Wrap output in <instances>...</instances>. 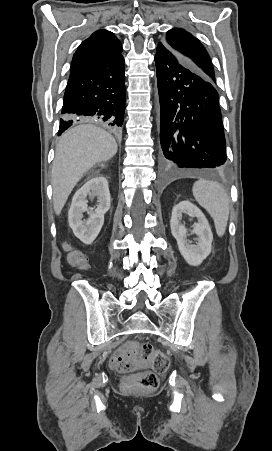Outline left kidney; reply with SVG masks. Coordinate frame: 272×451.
Segmentation results:
<instances>
[{
    "label": "left kidney",
    "instance_id": "obj_1",
    "mask_svg": "<svg viewBox=\"0 0 272 451\" xmlns=\"http://www.w3.org/2000/svg\"><path fill=\"white\" fill-rule=\"evenodd\" d=\"M183 214L195 216L198 220L194 229H191L192 233H196L197 235L195 237L197 239L196 243H188L186 239L188 229L183 224H180ZM170 226L172 235L177 239L178 249L187 263L189 265H200L203 259L209 255L213 239L211 227L201 210L197 206H194V204H191V202H188V200L180 202L172 210Z\"/></svg>",
    "mask_w": 272,
    "mask_h": 451
}]
</instances>
